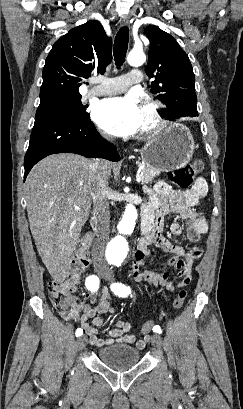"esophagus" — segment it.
<instances>
[{
	"instance_id": "34e87169",
	"label": "esophagus",
	"mask_w": 243,
	"mask_h": 409,
	"mask_svg": "<svg viewBox=\"0 0 243 409\" xmlns=\"http://www.w3.org/2000/svg\"><path fill=\"white\" fill-rule=\"evenodd\" d=\"M121 26H128L129 25V16H124L120 20Z\"/></svg>"
}]
</instances>
